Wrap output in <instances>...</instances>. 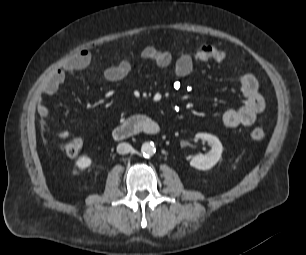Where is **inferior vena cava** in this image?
<instances>
[{"label": "inferior vena cava", "instance_id": "obj_1", "mask_svg": "<svg viewBox=\"0 0 306 255\" xmlns=\"http://www.w3.org/2000/svg\"><path fill=\"white\" fill-rule=\"evenodd\" d=\"M131 151H133V147L128 143H120L117 146V152L119 154H127Z\"/></svg>", "mask_w": 306, "mask_h": 255}]
</instances>
